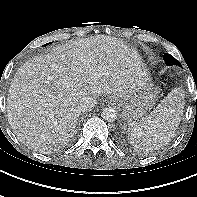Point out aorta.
<instances>
[{"instance_id":"obj_1","label":"aorta","mask_w":197,"mask_h":197,"mask_svg":"<svg viewBox=\"0 0 197 197\" xmlns=\"http://www.w3.org/2000/svg\"><path fill=\"white\" fill-rule=\"evenodd\" d=\"M101 116L108 122H114L117 119V111L112 107H106L103 109Z\"/></svg>"}]
</instances>
